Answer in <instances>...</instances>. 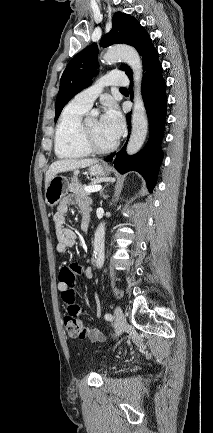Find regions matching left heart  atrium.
Returning <instances> with one entry per match:
<instances>
[{
  "label": "left heart atrium",
  "mask_w": 213,
  "mask_h": 433,
  "mask_svg": "<svg viewBox=\"0 0 213 433\" xmlns=\"http://www.w3.org/2000/svg\"><path fill=\"white\" fill-rule=\"evenodd\" d=\"M100 124L113 140H117L121 136L124 130V121L118 107L114 103L107 104L105 112L100 119Z\"/></svg>",
  "instance_id": "obj_1"
}]
</instances>
